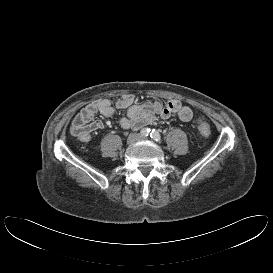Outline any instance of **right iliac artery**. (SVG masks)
<instances>
[{
	"instance_id": "obj_1",
	"label": "right iliac artery",
	"mask_w": 273,
	"mask_h": 273,
	"mask_svg": "<svg viewBox=\"0 0 273 273\" xmlns=\"http://www.w3.org/2000/svg\"><path fill=\"white\" fill-rule=\"evenodd\" d=\"M150 131L149 128H143L140 133L142 136L147 137L150 134Z\"/></svg>"
}]
</instances>
